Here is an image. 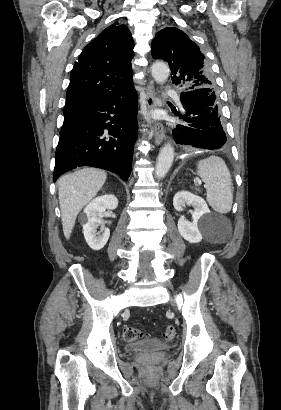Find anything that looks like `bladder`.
<instances>
[{"mask_svg": "<svg viewBox=\"0 0 281 410\" xmlns=\"http://www.w3.org/2000/svg\"><path fill=\"white\" fill-rule=\"evenodd\" d=\"M168 347V344L158 340H144L130 342L126 345V350L129 352H157L164 350Z\"/></svg>", "mask_w": 281, "mask_h": 410, "instance_id": "obj_1", "label": "bladder"}]
</instances>
